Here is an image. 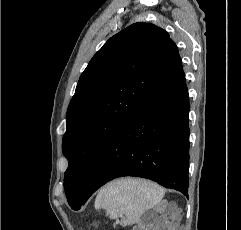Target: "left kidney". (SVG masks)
Segmentation results:
<instances>
[{"instance_id": "5707ae66", "label": "left kidney", "mask_w": 241, "mask_h": 230, "mask_svg": "<svg viewBox=\"0 0 241 230\" xmlns=\"http://www.w3.org/2000/svg\"><path fill=\"white\" fill-rule=\"evenodd\" d=\"M140 229H141V230H147L144 225H142V226L140 227ZM133 230H138V229L136 228V229H133Z\"/></svg>"}]
</instances>
